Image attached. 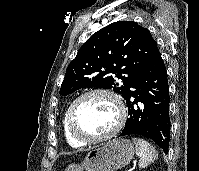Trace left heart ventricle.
Masks as SVG:
<instances>
[{
  "instance_id": "obj_1",
  "label": "left heart ventricle",
  "mask_w": 199,
  "mask_h": 171,
  "mask_svg": "<svg viewBox=\"0 0 199 171\" xmlns=\"http://www.w3.org/2000/svg\"><path fill=\"white\" fill-rule=\"evenodd\" d=\"M117 119L118 113L112 99L104 95H92L78 104L74 122L82 134L93 137L112 130Z\"/></svg>"
}]
</instances>
